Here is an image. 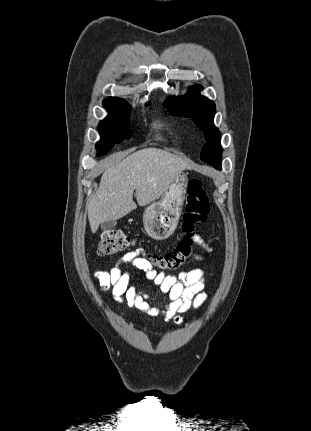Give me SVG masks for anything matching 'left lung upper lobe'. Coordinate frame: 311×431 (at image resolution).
<instances>
[{"instance_id": "5c2ea615", "label": "left lung upper lobe", "mask_w": 311, "mask_h": 431, "mask_svg": "<svg viewBox=\"0 0 311 431\" xmlns=\"http://www.w3.org/2000/svg\"><path fill=\"white\" fill-rule=\"evenodd\" d=\"M201 86H193L189 92L181 97H173L168 107L170 113L177 116L192 117V120L203 131L206 144L203 146L200 158L219 169L221 165V136L213 123L216 112L215 103L206 97L200 96Z\"/></svg>"}]
</instances>
